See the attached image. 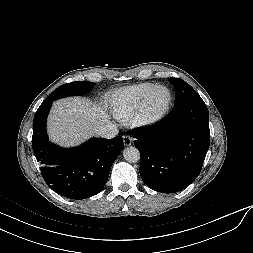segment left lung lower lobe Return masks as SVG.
Wrapping results in <instances>:
<instances>
[{
  "instance_id": "0a47b994",
  "label": "left lung lower lobe",
  "mask_w": 253,
  "mask_h": 253,
  "mask_svg": "<svg viewBox=\"0 0 253 253\" xmlns=\"http://www.w3.org/2000/svg\"><path fill=\"white\" fill-rule=\"evenodd\" d=\"M140 176L162 193L178 192L200 174L210 144L209 113L201 98L174 109L158 124L133 130Z\"/></svg>"
}]
</instances>
